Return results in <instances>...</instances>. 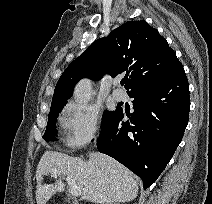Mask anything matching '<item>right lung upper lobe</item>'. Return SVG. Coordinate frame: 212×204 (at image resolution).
<instances>
[{
  "label": "right lung upper lobe",
  "mask_w": 212,
  "mask_h": 204,
  "mask_svg": "<svg viewBox=\"0 0 212 204\" xmlns=\"http://www.w3.org/2000/svg\"><path fill=\"white\" fill-rule=\"evenodd\" d=\"M183 69L165 38L146 21H128L107 37L93 42L63 72L51 107L65 105L75 84L83 77L100 79L126 73L128 93L171 78Z\"/></svg>",
  "instance_id": "right-lung-upper-lobe-1"
}]
</instances>
